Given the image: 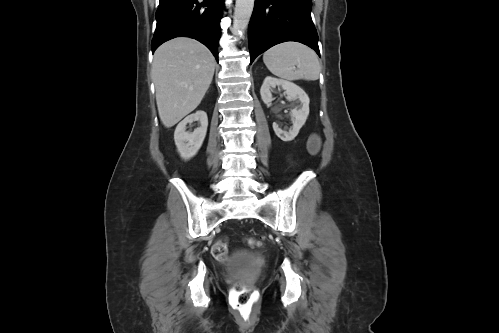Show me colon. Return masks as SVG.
Segmentation results:
<instances>
[{
  "mask_svg": "<svg viewBox=\"0 0 499 333\" xmlns=\"http://www.w3.org/2000/svg\"><path fill=\"white\" fill-rule=\"evenodd\" d=\"M321 148V139L318 134H312L308 141V150L312 155L319 153ZM250 244L260 245L257 240H250ZM212 255L218 261H224L228 254V243L225 239L217 240L212 246ZM230 305L242 316H249L253 306L257 301L254 291L244 287L241 283L236 284L230 294Z\"/></svg>",
  "mask_w": 499,
  "mask_h": 333,
  "instance_id": "obj_1",
  "label": "colon"
}]
</instances>
